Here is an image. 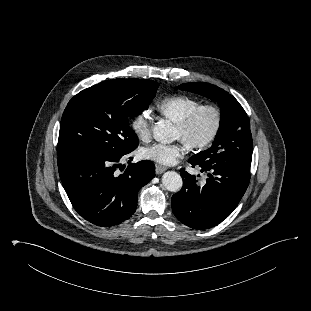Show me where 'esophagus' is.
Segmentation results:
<instances>
[{"mask_svg": "<svg viewBox=\"0 0 311 311\" xmlns=\"http://www.w3.org/2000/svg\"><path fill=\"white\" fill-rule=\"evenodd\" d=\"M156 169H155V172H156V174H162L164 171H166L167 170V168L166 167H164V166H161V165H156V167H155Z\"/></svg>", "mask_w": 311, "mask_h": 311, "instance_id": "obj_1", "label": "esophagus"}]
</instances>
